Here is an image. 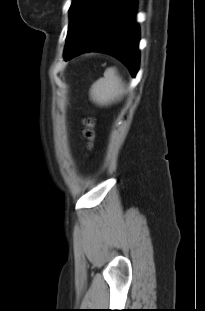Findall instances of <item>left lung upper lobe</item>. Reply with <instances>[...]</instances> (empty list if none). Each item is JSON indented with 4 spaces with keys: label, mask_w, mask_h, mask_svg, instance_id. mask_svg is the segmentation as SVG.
<instances>
[{
    "label": "left lung upper lobe",
    "mask_w": 205,
    "mask_h": 311,
    "mask_svg": "<svg viewBox=\"0 0 205 311\" xmlns=\"http://www.w3.org/2000/svg\"><path fill=\"white\" fill-rule=\"evenodd\" d=\"M120 0H73L65 51L77 47L112 12Z\"/></svg>",
    "instance_id": "1"
}]
</instances>
